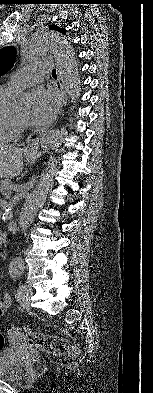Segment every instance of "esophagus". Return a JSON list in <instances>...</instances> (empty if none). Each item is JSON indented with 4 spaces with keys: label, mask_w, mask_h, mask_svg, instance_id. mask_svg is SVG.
<instances>
[{
    "label": "esophagus",
    "mask_w": 153,
    "mask_h": 393,
    "mask_svg": "<svg viewBox=\"0 0 153 393\" xmlns=\"http://www.w3.org/2000/svg\"><path fill=\"white\" fill-rule=\"evenodd\" d=\"M60 87H61L62 94H63V100H62L61 111H60V114H61V117H62L63 113H64V109L63 108L66 106V103H67V96H66V93L64 91L63 85H60ZM38 142H39V138H36L35 140H33L31 143H29L27 145L26 150L28 152H31V151L35 150L37 148V146H38Z\"/></svg>",
    "instance_id": "1"
}]
</instances>
